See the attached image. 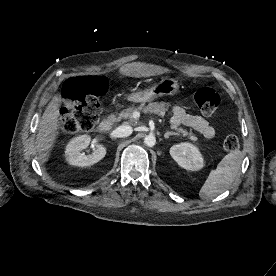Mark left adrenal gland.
I'll return each mask as SVG.
<instances>
[{
	"label": "left adrenal gland",
	"instance_id": "left-adrenal-gland-1",
	"mask_svg": "<svg viewBox=\"0 0 276 276\" xmlns=\"http://www.w3.org/2000/svg\"><path fill=\"white\" fill-rule=\"evenodd\" d=\"M171 135H178V134H177V133H174V132H166V133L164 134V138H165V139H168L169 136H171Z\"/></svg>",
	"mask_w": 276,
	"mask_h": 276
}]
</instances>
